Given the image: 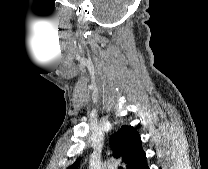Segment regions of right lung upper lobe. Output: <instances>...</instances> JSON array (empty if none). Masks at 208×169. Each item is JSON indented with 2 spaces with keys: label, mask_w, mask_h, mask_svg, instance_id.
<instances>
[{
  "label": "right lung upper lobe",
  "mask_w": 208,
  "mask_h": 169,
  "mask_svg": "<svg viewBox=\"0 0 208 169\" xmlns=\"http://www.w3.org/2000/svg\"><path fill=\"white\" fill-rule=\"evenodd\" d=\"M110 143L113 157L121 158L127 164V169H137L146 159L140 135L132 126L123 125L118 132L111 136ZM80 160L81 158H78L67 169H77Z\"/></svg>",
  "instance_id": "cb5924a9"
}]
</instances>
